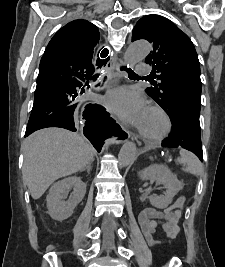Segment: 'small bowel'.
I'll list each match as a JSON object with an SVG mask.
<instances>
[{
  "label": "small bowel",
  "instance_id": "c3829d8e",
  "mask_svg": "<svg viewBox=\"0 0 225 267\" xmlns=\"http://www.w3.org/2000/svg\"><path fill=\"white\" fill-rule=\"evenodd\" d=\"M184 197L181 196L170 207L159 210L156 208H146L140 216V226L147 242L156 245L154 235L157 229H161L168 240H172L179 232L178 220L181 216L179 202Z\"/></svg>",
  "mask_w": 225,
  "mask_h": 267
}]
</instances>
